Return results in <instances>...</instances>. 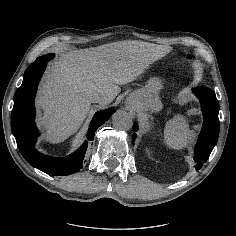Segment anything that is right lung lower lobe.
I'll use <instances>...</instances> for the list:
<instances>
[{
  "label": "right lung lower lobe",
  "mask_w": 236,
  "mask_h": 236,
  "mask_svg": "<svg viewBox=\"0 0 236 236\" xmlns=\"http://www.w3.org/2000/svg\"><path fill=\"white\" fill-rule=\"evenodd\" d=\"M46 63L43 62L38 66L30 67L24 73L22 85L14 95V106L11 114L12 133L21 154L33 167L51 176L70 175L82 169L87 141L76 152L65 158L45 156L34 147L36 137L39 135L34 123V98ZM114 112L115 110L108 109L95 114L87 133L89 141L94 139L97 128L107 121Z\"/></svg>",
  "instance_id": "obj_1"
}]
</instances>
